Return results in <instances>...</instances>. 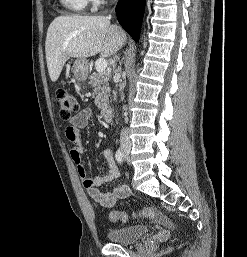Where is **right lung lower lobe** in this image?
I'll list each match as a JSON object with an SVG mask.
<instances>
[{
  "instance_id": "1",
  "label": "right lung lower lobe",
  "mask_w": 247,
  "mask_h": 257,
  "mask_svg": "<svg viewBox=\"0 0 247 257\" xmlns=\"http://www.w3.org/2000/svg\"><path fill=\"white\" fill-rule=\"evenodd\" d=\"M145 0H120L116 15L121 26L138 42L144 14Z\"/></svg>"
}]
</instances>
